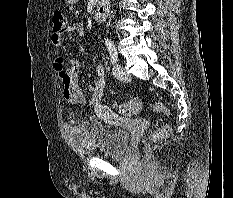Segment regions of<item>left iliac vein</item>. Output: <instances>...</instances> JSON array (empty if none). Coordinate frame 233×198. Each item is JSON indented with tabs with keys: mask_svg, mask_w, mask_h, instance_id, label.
Segmentation results:
<instances>
[{
	"mask_svg": "<svg viewBox=\"0 0 233 198\" xmlns=\"http://www.w3.org/2000/svg\"><path fill=\"white\" fill-rule=\"evenodd\" d=\"M113 74L120 81L126 82L130 80V76L128 75L126 69L119 63L113 66Z\"/></svg>",
	"mask_w": 233,
	"mask_h": 198,
	"instance_id": "4c4485c4",
	"label": "left iliac vein"
}]
</instances>
